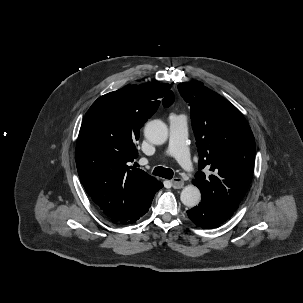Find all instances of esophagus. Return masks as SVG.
I'll use <instances>...</instances> for the list:
<instances>
[{
  "label": "esophagus",
  "mask_w": 303,
  "mask_h": 303,
  "mask_svg": "<svg viewBox=\"0 0 303 303\" xmlns=\"http://www.w3.org/2000/svg\"><path fill=\"white\" fill-rule=\"evenodd\" d=\"M171 184H172L173 188L180 189L184 186V181L180 177H175L171 180Z\"/></svg>",
  "instance_id": "esophagus-1"
}]
</instances>
